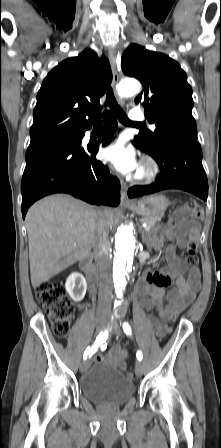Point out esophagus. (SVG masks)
<instances>
[{
	"label": "esophagus",
	"instance_id": "obj_1",
	"mask_svg": "<svg viewBox=\"0 0 221 448\" xmlns=\"http://www.w3.org/2000/svg\"><path fill=\"white\" fill-rule=\"evenodd\" d=\"M109 61H110V65H111L112 73H113L114 90H115V93L117 94V86H118L120 77H119V73L117 70L116 51L113 48H111L109 50ZM127 190H128V185L123 182L121 185V203L122 204L131 203V200L127 197Z\"/></svg>",
	"mask_w": 221,
	"mask_h": 448
}]
</instances>
